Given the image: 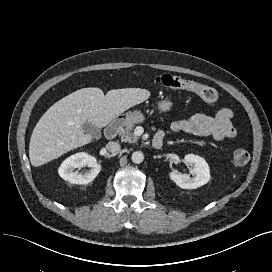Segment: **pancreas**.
Returning a JSON list of instances; mask_svg holds the SVG:
<instances>
[{
    "label": "pancreas",
    "instance_id": "cf45deb5",
    "mask_svg": "<svg viewBox=\"0 0 272 272\" xmlns=\"http://www.w3.org/2000/svg\"><path fill=\"white\" fill-rule=\"evenodd\" d=\"M134 124H129L125 129H123L119 135L121 137V141L128 142V143H136L139 139L138 136H136L133 133Z\"/></svg>",
    "mask_w": 272,
    "mask_h": 272
}]
</instances>
